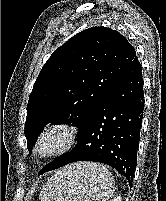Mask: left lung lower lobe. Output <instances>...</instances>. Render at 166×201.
Instances as JSON below:
<instances>
[{"instance_id": "left-lung-lower-lobe-1", "label": "left lung lower lobe", "mask_w": 166, "mask_h": 201, "mask_svg": "<svg viewBox=\"0 0 166 201\" xmlns=\"http://www.w3.org/2000/svg\"><path fill=\"white\" fill-rule=\"evenodd\" d=\"M143 79L137 56L78 130L76 147L40 170L38 175L77 161L115 168L130 186L136 169L143 118Z\"/></svg>"}]
</instances>
